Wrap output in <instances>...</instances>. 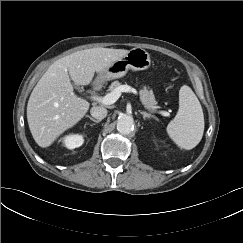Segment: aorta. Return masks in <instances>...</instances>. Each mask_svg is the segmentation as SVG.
Segmentation results:
<instances>
[{
    "instance_id": "aorta-1",
    "label": "aorta",
    "mask_w": 243,
    "mask_h": 243,
    "mask_svg": "<svg viewBox=\"0 0 243 243\" xmlns=\"http://www.w3.org/2000/svg\"><path fill=\"white\" fill-rule=\"evenodd\" d=\"M134 127L133 117L127 114H122L117 120V130L121 134H129Z\"/></svg>"
}]
</instances>
